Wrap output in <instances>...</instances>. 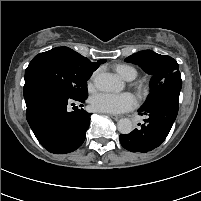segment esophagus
Here are the masks:
<instances>
[{"label": "esophagus", "instance_id": "obj_1", "mask_svg": "<svg viewBox=\"0 0 201 201\" xmlns=\"http://www.w3.org/2000/svg\"><path fill=\"white\" fill-rule=\"evenodd\" d=\"M109 116H110L111 118H113L114 120H118V119L121 118V116H118V115H111V114H109Z\"/></svg>", "mask_w": 201, "mask_h": 201}]
</instances>
